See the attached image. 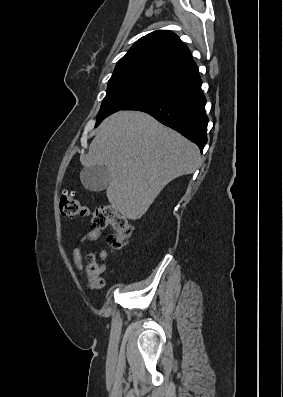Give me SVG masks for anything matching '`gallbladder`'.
Listing matches in <instances>:
<instances>
[{"mask_svg":"<svg viewBox=\"0 0 283 397\" xmlns=\"http://www.w3.org/2000/svg\"><path fill=\"white\" fill-rule=\"evenodd\" d=\"M80 179L87 190L99 192L108 186L110 174L104 165L90 166L81 171Z\"/></svg>","mask_w":283,"mask_h":397,"instance_id":"1","label":"gallbladder"}]
</instances>
